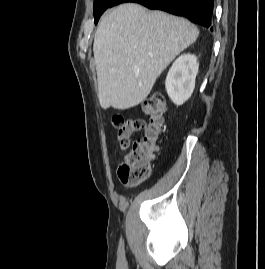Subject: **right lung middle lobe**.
<instances>
[{"label": "right lung middle lobe", "instance_id": "right-lung-middle-lobe-1", "mask_svg": "<svg viewBox=\"0 0 265 269\" xmlns=\"http://www.w3.org/2000/svg\"><path fill=\"white\" fill-rule=\"evenodd\" d=\"M114 0H94V18L95 24L98 22L102 13L110 7Z\"/></svg>", "mask_w": 265, "mask_h": 269}]
</instances>
